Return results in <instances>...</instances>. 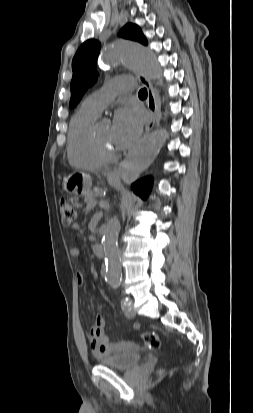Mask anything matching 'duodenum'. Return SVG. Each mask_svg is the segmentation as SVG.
Returning <instances> with one entry per match:
<instances>
[{
    "mask_svg": "<svg viewBox=\"0 0 253 413\" xmlns=\"http://www.w3.org/2000/svg\"><path fill=\"white\" fill-rule=\"evenodd\" d=\"M93 252L94 254L99 257L102 258L104 256V247L102 244L96 243L93 245Z\"/></svg>",
    "mask_w": 253,
    "mask_h": 413,
    "instance_id": "410a0bca",
    "label": "duodenum"
}]
</instances>
